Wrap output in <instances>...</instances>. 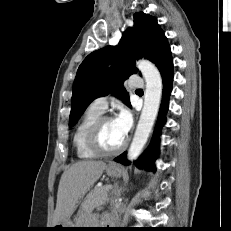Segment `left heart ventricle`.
<instances>
[{
    "mask_svg": "<svg viewBox=\"0 0 231 231\" xmlns=\"http://www.w3.org/2000/svg\"><path fill=\"white\" fill-rule=\"evenodd\" d=\"M125 137L119 132L114 120L106 121L100 132V142L106 149H114L120 146Z\"/></svg>",
    "mask_w": 231,
    "mask_h": 231,
    "instance_id": "b2bd125f",
    "label": "left heart ventricle"
}]
</instances>
